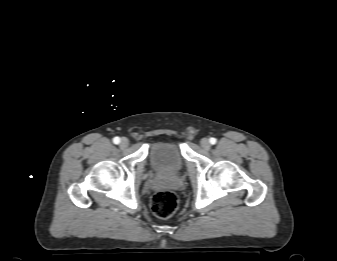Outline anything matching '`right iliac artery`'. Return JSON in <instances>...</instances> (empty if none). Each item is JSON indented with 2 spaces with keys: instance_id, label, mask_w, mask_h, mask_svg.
<instances>
[{
  "instance_id": "right-iliac-artery-1",
  "label": "right iliac artery",
  "mask_w": 337,
  "mask_h": 261,
  "mask_svg": "<svg viewBox=\"0 0 337 261\" xmlns=\"http://www.w3.org/2000/svg\"><path fill=\"white\" fill-rule=\"evenodd\" d=\"M113 142H114V144H119L120 143V138L119 137H115L113 139Z\"/></svg>"
}]
</instances>
